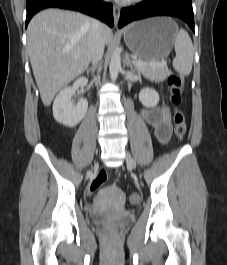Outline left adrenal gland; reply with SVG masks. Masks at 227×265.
<instances>
[{"label":"left adrenal gland","mask_w":227,"mask_h":265,"mask_svg":"<svg viewBox=\"0 0 227 265\" xmlns=\"http://www.w3.org/2000/svg\"><path fill=\"white\" fill-rule=\"evenodd\" d=\"M124 63L126 64V66L130 69V71H135L134 67H133V64L129 58V55L128 53L126 52L125 54V61Z\"/></svg>","instance_id":"obj_1"}]
</instances>
